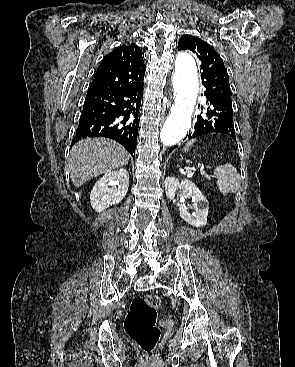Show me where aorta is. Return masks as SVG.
<instances>
[{
  "label": "aorta",
  "mask_w": 295,
  "mask_h": 367,
  "mask_svg": "<svg viewBox=\"0 0 295 367\" xmlns=\"http://www.w3.org/2000/svg\"><path fill=\"white\" fill-rule=\"evenodd\" d=\"M172 84L175 104L160 132L161 141L170 146L180 142L191 127L199 89L197 67L191 55L187 53L177 55Z\"/></svg>",
  "instance_id": "762f6f07"
}]
</instances>
